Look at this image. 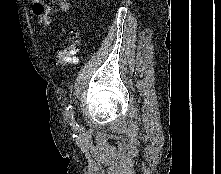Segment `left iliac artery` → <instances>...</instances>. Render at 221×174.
I'll return each mask as SVG.
<instances>
[{
    "label": "left iliac artery",
    "mask_w": 221,
    "mask_h": 174,
    "mask_svg": "<svg viewBox=\"0 0 221 174\" xmlns=\"http://www.w3.org/2000/svg\"><path fill=\"white\" fill-rule=\"evenodd\" d=\"M65 116H66V118L70 121V124H71V125L78 126V125L75 123V119H74V106H73L72 101L69 103V105H68L67 108H66V114H65Z\"/></svg>",
    "instance_id": "44dca946"
}]
</instances>
